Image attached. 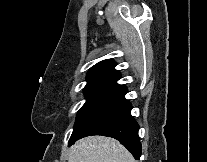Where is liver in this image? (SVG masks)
Instances as JSON below:
<instances>
[{"mask_svg":"<svg viewBox=\"0 0 207 162\" xmlns=\"http://www.w3.org/2000/svg\"><path fill=\"white\" fill-rule=\"evenodd\" d=\"M68 162H136L117 140L105 136H89L72 145Z\"/></svg>","mask_w":207,"mask_h":162,"instance_id":"liver-1","label":"liver"}]
</instances>
